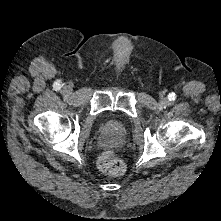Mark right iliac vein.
<instances>
[{"label": "right iliac vein", "mask_w": 221, "mask_h": 221, "mask_svg": "<svg viewBox=\"0 0 221 221\" xmlns=\"http://www.w3.org/2000/svg\"><path fill=\"white\" fill-rule=\"evenodd\" d=\"M70 91H71L70 88H66V87H65V88L63 89V92H64V93H69Z\"/></svg>", "instance_id": "1"}]
</instances>
